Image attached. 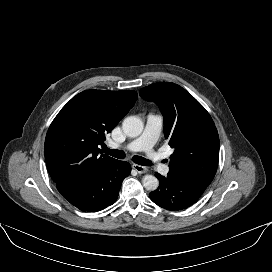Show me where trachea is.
<instances>
[{"instance_id":"1","label":"trachea","mask_w":272,"mask_h":272,"mask_svg":"<svg viewBox=\"0 0 272 272\" xmlns=\"http://www.w3.org/2000/svg\"><path fill=\"white\" fill-rule=\"evenodd\" d=\"M103 153H106L112 157L118 158V159H124L125 158V153L122 150H111L107 148V146H104L102 149ZM133 162L143 165V166H151L152 163L148 160L145 159L141 156H133L132 158Z\"/></svg>"}]
</instances>
